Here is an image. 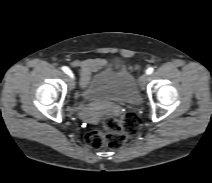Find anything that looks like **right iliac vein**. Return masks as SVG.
Returning <instances> with one entry per match:
<instances>
[{"label": "right iliac vein", "instance_id": "obj_1", "mask_svg": "<svg viewBox=\"0 0 212 183\" xmlns=\"http://www.w3.org/2000/svg\"><path fill=\"white\" fill-rule=\"evenodd\" d=\"M74 85H75V82L72 79H70V87L73 88Z\"/></svg>", "mask_w": 212, "mask_h": 183}]
</instances>
